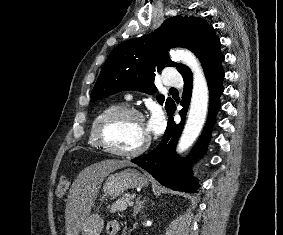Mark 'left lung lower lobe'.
Returning <instances> with one entry per match:
<instances>
[{
	"label": "left lung lower lobe",
	"instance_id": "obj_1",
	"mask_svg": "<svg viewBox=\"0 0 283 235\" xmlns=\"http://www.w3.org/2000/svg\"><path fill=\"white\" fill-rule=\"evenodd\" d=\"M223 62V61H222ZM222 62L205 71L209 87V115L206 126L197 144L185 159H179L175 153V146L183 130L186 112L190 103L192 90V77L184 79V92L179 112L181 122L176 125L172 117L168 119L167 129L160 144L150 153L139 156L131 162L148 171L162 185L177 191L193 193L198 189V182L192 177L189 166L203 155L207 149V143L211 137V127L215 123V115L220 108L219 97L223 93L222 81L224 72ZM175 112V104L169 116Z\"/></svg>",
	"mask_w": 283,
	"mask_h": 235
}]
</instances>
